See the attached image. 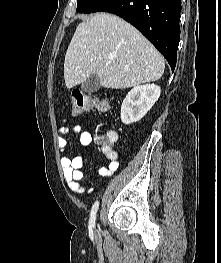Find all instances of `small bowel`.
Wrapping results in <instances>:
<instances>
[{"instance_id":"1","label":"small bowel","mask_w":221,"mask_h":263,"mask_svg":"<svg viewBox=\"0 0 221 263\" xmlns=\"http://www.w3.org/2000/svg\"><path fill=\"white\" fill-rule=\"evenodd\" d=\"M72 133L78 140L79 144L84 147H89L92 144L93 138L89 131L83 130L80 126H74L72 129L68 127H60L58 130L57 145L62 153L60 163L63 169L65 181L71 191L75 193H90L93 190V185L88 182L81 184L83 173L81 167L83 165V157L81 154H76L74 157H69L66 154L67 136ZM107 141L102 145V153L109 159L108 167L98 169V174L102 177H110L118 169L119 162L117 153L111 148L110 144L117 141V133L115 131L107 132Z\"/></svg>"}]
</instances>
